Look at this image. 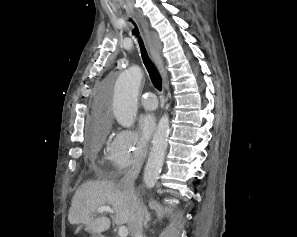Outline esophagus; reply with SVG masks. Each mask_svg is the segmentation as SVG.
Wrapping results in <instances>:
<instances>
[{
  "label": "esophagus",
  "mask_w": 297,
  "mask_h": 237,
  "mask_svg": "<svg viewBox=\"0 0 297 237\" xmlns=\"http://www.w3.org/2000/svg\"><path fill=\"white\" fill-rule=\"evenodd\" d=\"M140 22H141V25H142V27L144 29L146 37H147V44H148V47H149L150 54H151L154 62L158 66L159 71H160V73L162 75L163 81L165 83L167 75H166V71H165L164 66H163V61H162V59H161V57L159 55L158 50L156 49V47L152 44V42L149 39V30H148V25H147L146 21L141 19Z\"/></svg>",
  "instance_id": "esophagus-1"
}]
</instances>
